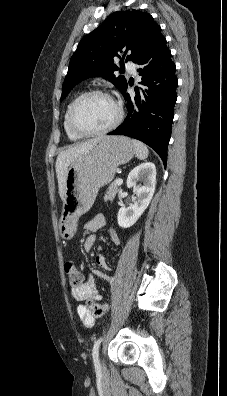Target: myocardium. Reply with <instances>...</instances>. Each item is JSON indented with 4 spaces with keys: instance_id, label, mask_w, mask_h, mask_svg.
I'll return each mask as SVG.
<instances>
[{
    "instance_id": "myocardium-1",
    "label": "myocardium",
    "mask_w": 227,
    "mask_h": 396,
    "mask_svg": "<svg viewBox=\"0 0 227 396\" xmlns=\"http://www.w3.org/2000/svg\"><path fill=\"white\" fill-rule=\"evenodd\" d=\"M93 95H99V96L108 98L115 105V107L117 109V115H116V118L114 119V121L107 127L100 129V130H96V131H86V130L82 129L81 127H79V125L77 124L76 111H77L79 104L85 98H87L89 96H93ZM123 117H124V111H123L122 105L120 103H118L108 92H106L104 90H100V89H91V90H87V91L81 93L73 101V103L70 107V111H69L68 122H69V126L72 129V131L74 133H76L77 135L82 136V137H92V136H99V135H103V134L111 132L112 130H114L115 128H117L119 126V124L123 120Z\"/></svg>"
}]
</instances>
